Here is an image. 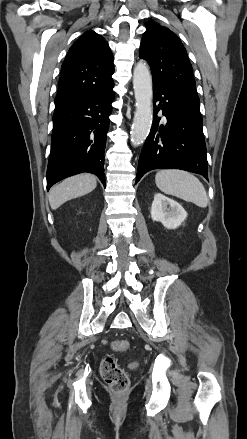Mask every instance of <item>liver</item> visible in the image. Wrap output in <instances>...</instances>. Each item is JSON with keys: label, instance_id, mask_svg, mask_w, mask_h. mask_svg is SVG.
Masks as SVG:
<instances>
[{"label": "liver", "instance_id": "liver-1", "mask_svg": "<svg viewBox=\"0 0 247 439\" xmlns=\"http://www.w3.org/2000/svg\"><path fill=\"white\" fill-rule=\"evenodd\" d=\"M96 186V177L91 174L69 177L50 190L48 195L50 206L56 210L65 202L92 192Z\"/></svg>", "mask_w": 247, "mask_h": 439}]
</instances>
